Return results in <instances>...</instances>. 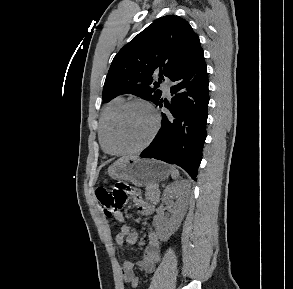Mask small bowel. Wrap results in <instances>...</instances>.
Segmentation results:
<instances>
[{
  "label": "small bowel",
  "instance_id": "1",
  "mask_svg": "<svg viewBox=\"0 0 293 289\" xmlns=\"http://www.w3.org/2000/svg\"><path fill=\"white\" fill-rule=\"evenodd\" d=\"M139 201V210L142 215L149 216L154 212L152 205ZM114 218L121 223L119 232L116 234L115 241L118 245H133L138 240L136 230L125 222L124 215L121 211L115 212ZM161 259V242L156 232L151 231L148 234V242L144 248L143 257L137 261V265L145 272H152ZM134 264L131 261H124L121 266V276L124 283L130 287H137L138 278L133 270Z\"/></svg>",
  "mask_w": 293,
  "mask_h": 289
}]
</instances>
